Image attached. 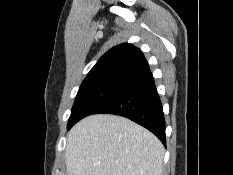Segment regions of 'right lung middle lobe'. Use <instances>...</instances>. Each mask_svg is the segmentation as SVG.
Returning <instances> with one entry per match:
<instances>
[{
    "label": "right lung middle lobe",
    "instance_id": "obj_1",
    "mask_svg": "<svg viewBox=\"0 0 233 175\" xmlns=\"http://www.w3.org/2000/svg\"><path fill=\"white\" fill-rule=\"evenodd\" d=\"M133 80L125 76H103L84 80L72 107L67 129L82 118L93 114Z\"/></svg>",
    "mask_w": 233,
    "mask_h": 175
}]
</instances>
